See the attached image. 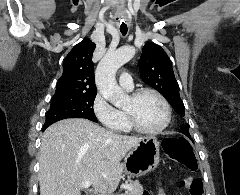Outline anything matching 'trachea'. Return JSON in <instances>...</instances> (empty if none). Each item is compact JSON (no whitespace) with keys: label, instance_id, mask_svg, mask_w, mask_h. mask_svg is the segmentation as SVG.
Listing matches in <instances>:
<instances>
[{"label":"trachea","instance_id":"1","mask_svg":"<svg viewBox=\"0 0 240 195\" xmlns=\"http://www.w3.org/2000/svg\"><path fill=\"white\" fill-rule=\"evenodd\" d=\"M120 31H121L122 35L125 36L127 33V25H121Z\"/></svg>","mask_w":240,"mask_h":195}]
</instances>
